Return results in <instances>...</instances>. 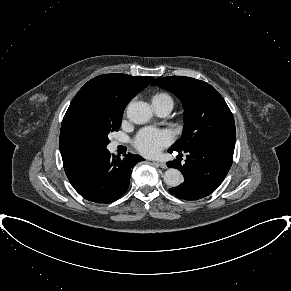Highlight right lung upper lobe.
I'll use <instances>...</instances> for the list:
<instances>
[{
	"mask_svg": "<svg viewBox=\"0 0 291 291\" xmlns=\"http://www.w3.org/2000/svg\"><path fill=\"white\" fill-rule=\"evenodd\" d=\"M153 80L147 76L104 74L97 76L79 90L66 111L60 131L59 147L68 178H71L92 159L81 156L64 142L66 129L80 114L86 112H122L130 100Z\"/></svg>",
	"mask_w": 291,
	"mask_h": 291,
	"instance_id": "1",
	"label": "right lung upper lobe"
}]
</instances>
